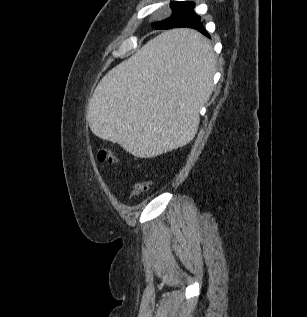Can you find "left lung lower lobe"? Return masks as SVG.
<instances>
[{"label":"left lung lower lobe","instance_id":"1","mask_svg":"<svg viewBox=\"0 0 307 317\" xmlns=\"http://www.w3.org/2000/svg\"><path fill=\"white\" fill-rule=\"evenodd\" d=\"M171 11H172V9H171ZM153 27L155 29H172L169 26L168 22H164V21L153 23ZM181 27L192 28V29L202 33L204 36L210 38L209 33L206 31V29L204 28V26L201 22V17L198 16L197 14L193 18H191L188 22H185V23H183L180 26L175 27V28H181ZM196 31H192L193 34H191V35L188 33H185V34H182L180 36L171 38L167 42V46H168L169 50L172 52H177V51L182 50V49H197V50H200L204 53V51L206 50V47L203 43H201V39L199 37L195 36V34L200 35Z\"/></svg>","mask_w":307,"mask_h":317}]
</instances>
